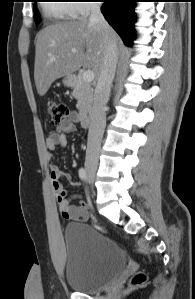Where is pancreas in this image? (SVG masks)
<instances>
[{
  "instance_id": "cf45deb5",
  "label": "pancreas",
  "mask_w": 195,
  "mask_h": 299,
  "mask_svg": "<svg viewBox=\"0 0 195 299\" xmlns=\"http://www.w3.org/2000/svg\"><path fill=\"white\" fill-rule=\"evenodd\" d=\"M73 96L77 99V108L81 116L86 115L92 107L93 103V87L91 83L77 77V82L73 90Z\"/></svg>"
}]
</instances>
